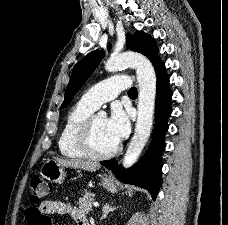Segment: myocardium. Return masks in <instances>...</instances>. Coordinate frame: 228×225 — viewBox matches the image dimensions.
<instances>
[{
	"mask_svg": "<svg viewBox=\"0 0 228 225\" xmlns=\"http://www.w3.org/2000/svg\"><path fill=\"white\" fill-rule=\"evenodd\" d=\"M96 115H90L82 124L77 142L79 147L92 157L106 158L115 155L121 149V145L117 143L113 148L108 150H101L97 147L93 136V122Z\"/></svg>",
	"mask_w": 228,
	"mask_h": 225,
	"instance_id": "myocardium-1",
	"label": "myocardium"
}]
</instances>
